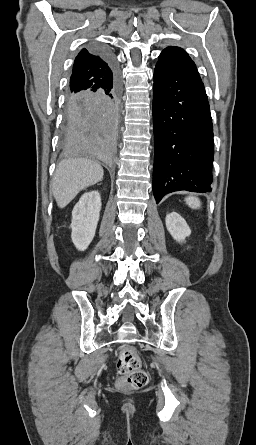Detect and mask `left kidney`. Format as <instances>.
Returning a JSON list of instances; mask_svg holds the SVG:
<instances>
[{"label":"left kidney","instance_id":"5707ae66","mask_svg":"<svg viewBox=\"0 0 256 445\" xmlns=\"http://www.w3.org/2000/svg\"><path fill=\"white\" fill-rule=\"evenodd\" d=\"M165 222L167 230L178 242H183L191 234V230L184 218L176 212L167 214Z\"/></svg>","mask_w":256,"mask_h":445}]
</instances>
